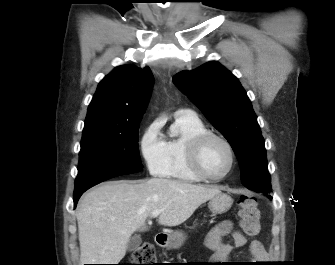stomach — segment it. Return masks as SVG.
<instances>
[{"instance_id": "stomach-1", "label": "stomach", "mask_w": 335, "mask_h": 265, "mask_svg": "<svg viewBox=\"0 0 335 265\" xmlns=\"http://www.w3.org/2000/svg\"><path fill=\"white\" fill-rule=\"evenodd\" d=\"M232 203L233 200L228 194L220 192L210 199L208 206L213 214H222L230 209ZM185 238L182 232H176L168 237L165 246L169 249L178 248L183 244Z\"/></svg>"}]
</instances>
